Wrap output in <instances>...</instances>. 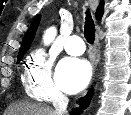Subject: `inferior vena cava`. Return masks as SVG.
<instances>
[{
	"label": "inferior vena cava",
	"instance_id": "602c4592",
	"mask_svg": "<svg viewBox=\"0 0 131 115\" xmlns=\"http://www.w3.org/2000/svg\"><path fill=\"white\" fill-rule=\"evenodd\" d=\"M68 102H69V99L61 93L55 96L53 100V106L55 108L56 115L66 114Z\"/></svg>",
	"mask_w": 131,
	"mask_h": 115
}]
</instances>
